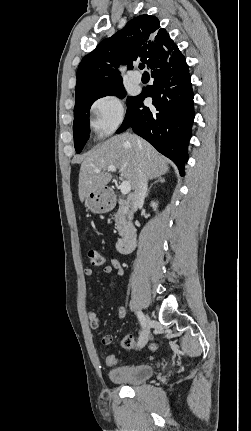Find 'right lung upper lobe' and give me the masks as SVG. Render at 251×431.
Segmentation results:
<instances>
[{"label": "right lung upper lobe", "mask_w": 251, "mask_h": 431, "mask_svg": "<svg viewBox=\"0 0 251 431\" xmlns=\"http://www.w3.org/2000/svg\"><path fill=\"white\" fill-rule=\"evenodd\" d=\"M176 49L158 18L140 15L113 36L103 40L86 55L77 70L75 95L81 96L122 82L117 69L120 64L132 68L133 61L141 59L149 68L162 63Z\"/></svg>", "instance_id": "obj_1"}]
</instances>
